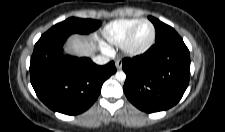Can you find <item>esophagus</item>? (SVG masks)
Listing matches in <instances>:
<instances>
[{"label": "esophagus", "instance_id": "1", "mask_svg": "<svg viewBox=\"0 0 225 132\" xmlns=\"http://www.w3.org/2000/svg\"><path fill=\"white\" fill-rule=\"evenodd\" d=\"M115 66L118 70H120L122 68V62L120 60H116L115 61Z\"/></svg>", "mask_w": 225, "mask_h": 132}]
</instances>
